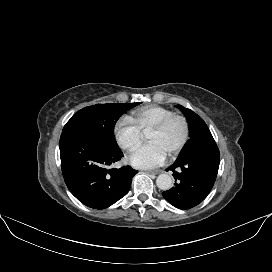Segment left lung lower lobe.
<instances>
[{
    "instance_id": "obj_1",
    "label": "left lung lower lobe",
    "mask_w": 272,
    "mask_h": 272,
    "mask_svg": "<svg viewBox=\"0 0 272 272\" xmlns=\"http://www.w3.org/2000/svg\"><path fill=\"white\" fill-rule=\"evenodd\" d=\"M220 153L216 143L180 156L167 170L173 171L175 185L162 193L176 208L185 210L201 203L212 189L218 173Z\"/></svg>"
}]
</instances>
